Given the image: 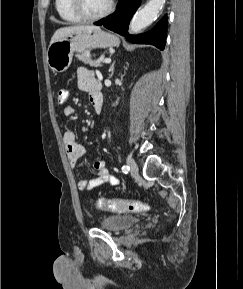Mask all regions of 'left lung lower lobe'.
<instances>
[{
    "mask_svg": "<svg viewBox=\"0 0 243 289\" xmlns=\"http://www.w3.org/2000/svg\"><path fill=\"white\" fill-rule=\"evenodd\" d=\"M141 4V0H119L116 11L106 18L95 22V25L104 27L121 34L132 43L151 44L163 50L167 33V19L164 16L149 32L130 36L127 32L129 22Z\"/></svg>",
    "mask_w": 243,
    "mask_h": 289,
    "instance_id": "0a47b994",
    "label": "left lung lower lobe"
}]
</instances>
